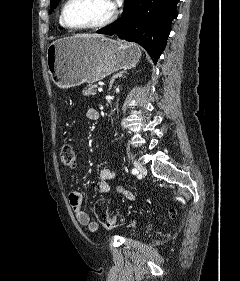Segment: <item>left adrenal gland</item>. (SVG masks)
<instances>
[{"mask_svg": "<svg viewBox=\"0 0 240 281\" xmlns=\"http://www.w3.org/2000/svg\"><path fill=\"white\" fill-rule=\"evenodd\" d=\"M127 73L126 71H120L119 73H116L115 75H113L112 79L110 80V85H109V90H111L112 85L114 83V80L118 77H123V75Z\"/></svg>", "mask_w": 240, "mask_h": 281, "instance_id": "a2214340", "label": "left adrenal gland"}]
</instances>
